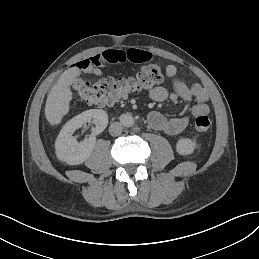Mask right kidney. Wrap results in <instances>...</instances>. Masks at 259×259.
I'll return each mask as SVG.
<instances>
[{"mask_svg": "<svg viewBox=\"0 0 259 259\" xmlns=\"http://www.w3.org/2000/svg\"><path fill=\"white\" fill-rule=\"evenodd\" d=\"M85 123H93V135L102 133L108 124V115L104 110L91 109L75 116L62 128L55 142L56 157L60 162L70 166L82 165L93 153L96 139L91 136L88 140L78 143L71 135Z\"/></svg>", "mask_w": 259, "mask_h": 259, "instance_id": "obj_1", "label": "right kidney"}]
</instances>
